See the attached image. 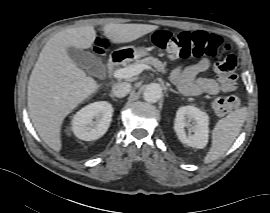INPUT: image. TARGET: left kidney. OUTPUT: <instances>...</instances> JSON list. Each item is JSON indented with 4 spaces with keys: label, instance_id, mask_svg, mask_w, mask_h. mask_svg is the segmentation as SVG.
Returning a JSON list of instances; mask_svg holds the SVG:
<instances>
[{
    "label": "left kidney",
    "instance_id": "obj_1",
    "mask_svg": "<svg viewBox=\"0 0 270 213\" xmlns=\"http://www.w3.org/2000/svg\"><path fill=\"white\" fill-rule=\"evenodd\" d=\"M194 122L192 128L194 134L187 135L185 128H190V122ZM209 117L207 113L194 106H182L177 110L174 121V130L179 140L191 147L204 148L209 138Z\"/></svg>",
    "mask_w": 270,
    "mask_h": 213
}]
</instances>
